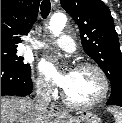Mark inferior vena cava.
Here are the masks:
<instances>
[{
	"mask_svg": "<svg viewBox=\"0 0 122 123\" xmlns=\"http://www.w3.org/2000/svg\"><path fill=\"white\" fill-rule=\"evenodd\" d=\"M50 85L45 83L37 84V95L33 100V105L38 116L43 115L47 111V107L51 101Z\"/></svg>",
	"mask_w": 122,
	"mask_h": 123,
	"instance_id": "obj_1",
	"label": "inferior vena cava"
}]
</instances>
